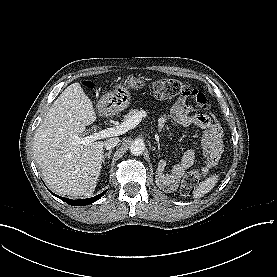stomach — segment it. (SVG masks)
Wrapping results in <instances>:
<instances>
[{"label": "stomach", "mask_w": 277, "mask_h": 277, "mask_svg": "<svg viewBox=\"0 0 277 277\" xmlns=\"http://www.w3.org/2000/svg\"><path fill=\"white\" fill-rule=\"evenodd\" d=\"M146 86V81L142 77L128 76L124 83L118 84L114 90L107 93L102 104L104 108L111 113H118L127 108L131 101L129 89H142Z\"/></svg>", "instance_id": "stomach-1"}]
</instances>
